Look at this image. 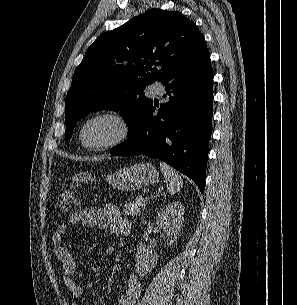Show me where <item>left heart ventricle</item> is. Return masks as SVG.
<instances>
[{
    "mask_svg": "<svg viewBox=\"0 0 297 305\" xmlns=\"http://www.w3.org/2000/svg\"><path fill=\"white\" fill-rule=\"evenodd\" d=\"M118 133L117 125L111 120H97L90 123L84 131V137L90 143H102L114 138Z\"/></svg>",
    "mask_w": 297,
    "mask_h": 305,
    "instance_id": "b2bd125f",
    "label": "left heart ventricle"
}]
</instances>
